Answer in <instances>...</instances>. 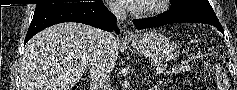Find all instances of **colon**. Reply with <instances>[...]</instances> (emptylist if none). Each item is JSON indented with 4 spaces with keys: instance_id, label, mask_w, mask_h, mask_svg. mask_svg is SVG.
<instances>
[{
    "instance_id": "colon-1",
    "label": "colon",
    "mask_w": 237,
    "mask_h": 90,
    "mask_svg": "<svg viewBox=\"0 0 237 90\" xmlns=\"http://www.w3.org/2000/svg\"><path fill=\"white\" fill-rule=\"evenodd\" d=\"M216 84L218 90H230V83L224 70L218 66L216 68Z\"/></svg>"
}]
</instances>
